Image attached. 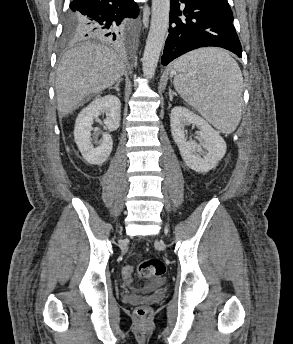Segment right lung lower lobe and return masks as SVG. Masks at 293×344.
Here are the masks:
<instances>
[{"label":"right lung lower lobe","instance_id":"98d812e1","mask_svg":"<svg viewBox=\"0 0 293 344\" xmlns=\"http://www.w3.org/2000/svg\"><path fill=\"white\" fill-rule=\"evenodd\" d=\"M71 12L81 14L82 38H98L108 42L124 41L127 28L138 15L134 0H74Z\"/></svg>","mask_w":293,"mask_h":344}]
</instances>
